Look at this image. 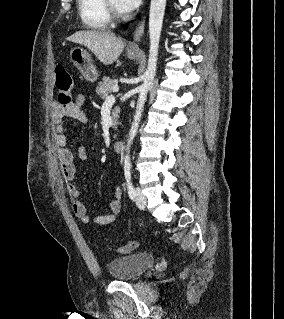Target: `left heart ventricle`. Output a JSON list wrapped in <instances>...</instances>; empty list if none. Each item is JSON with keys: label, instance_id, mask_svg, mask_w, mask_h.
Returning a JSON list of instances; mask_svg holds the SVG:
<instances>
[{"label": "left heart ventricle", "instance_id": "obj_1", "mask_svg": "<svg viewBox=\"0 0 284 319\" xmlns=\"http://www.w3.org/2000/svg\"><path fill=\"white\" fill-rule=\"evenodd\" d=\"M112 4L114 5V7L119 10L120 12H124L120 6H119V3H118V0H111Z\"/></svg>", "mask_w": 284, "mask_h": 319}]
</instances>
